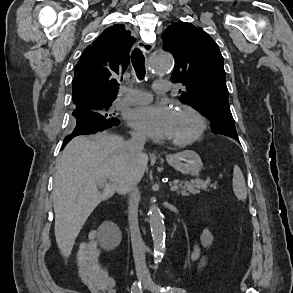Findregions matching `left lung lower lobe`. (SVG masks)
Listing matches in <instances>:
<instances>
[{
	"label": "left lung lower lobe",
	"instance_id": "left-lung-lower-lobe-1",
	"mask_svg": "<svg viewBox=\"0 0 293 293\" xmlns=\"http://www.w3.org/2000/svg\"><path fill=\"white\" fill-rule=\"evenodd\" d=\"M230 137H232V136H230ZM233 138L239 142L238 136H234Z\"/></svg>",
	"mask_w": 293,
	"mask_h": 293
}]
</instances>
